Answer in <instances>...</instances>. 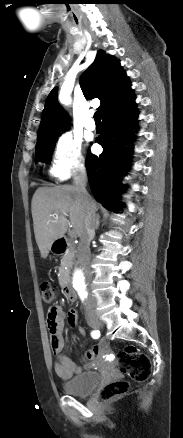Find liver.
<instances>
[{"label":"liver","instance_id":"6515ba94","mask_svg":"<svg viewBox=\"0 0 183 438\" xmlns=\"http://www.w3.org/2000/svg\"><path fill=\"white\" fill-rule=\"evenodd\" d=\"M87 206L94 211L97 209L96 202L90 196L88 204L85 203L73 186L42 187L36 190L31 208L35 239L42 258L48 256L53 243L67 232V214L73 232L81 236ZM52 215H58V218Z\"/></svg>","mask_w":183,"mask_h":438}]
</instances>
